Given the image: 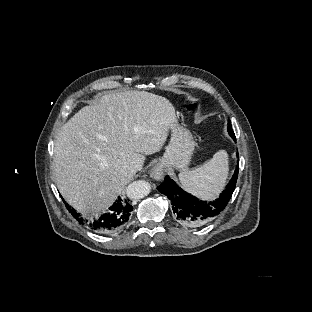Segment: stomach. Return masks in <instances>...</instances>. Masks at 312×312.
Segmentation results:
<instances>
[{"label":"stomach","instance_id":"stomach-1","mask_svg":"<svg viewBox=\"0 0 312 312\" xmlns=\"http://www.w3.org/2000/svg\"><path fill=\"white\" fill-rule=\"evenodd\" d=\"M170 131L171 141L159 165L167 171L184 170L194 153L195 142L188 130L179 125Z\"/></svg>","mask_w":312,"mask_h":312}]
</instances>
